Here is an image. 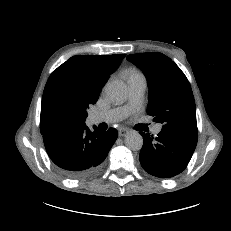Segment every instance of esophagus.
<instances>
[{
  "label": "esophagus",
  "instance_id": "esophagus-1",
  "mask_svg": "<svg viewBox=\"0 0 231 231\" xmlns=\"http://www.w3.org/2000/svg\"><path fill=\"white\" fill-rule=\"evenodd\" d=\"M128 133H129V130L126 129V128H121V129H119V136H120V137H124V136H126Z\"/></svg>",
  "mask_w": 231,
  "mask_h": 231
}]
</instances>
